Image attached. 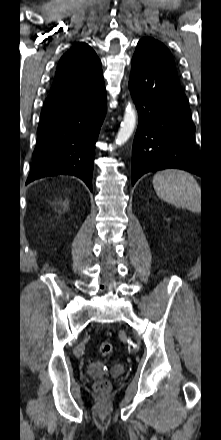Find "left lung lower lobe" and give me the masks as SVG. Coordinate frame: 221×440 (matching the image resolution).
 Instances as JSON below:
<instances>
[{"label":"left lung lower lobe","mask_w":221,"mask_h":440,"mask_svg":"<svg viewBox=\"0 0 221 440\" xmlns=\"http://www.w3.org/2000/svg\"><path fill=\"white\" fill-rule=\"evenodd\" d=\"M129 87L139 117L132 149V185L143 174L166 168L203 177V161L193 140L195 126L179 80L135 52Z\"/></svg>","instance_id":"0a47b994"}]
</instances>
